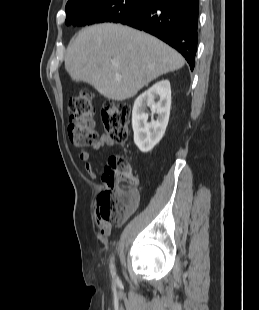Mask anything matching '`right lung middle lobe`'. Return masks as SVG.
Masks as SVG:
<instances>
[{"label":"right lung middle lobe","mask_w":259,"mask_h":310,"mask_svg":"<svg viewBox=\"0 0 259 310\" xmlns=\"http://www.w3.org/2000/svg\"><path fill=\"white\" fill-rule=\"evenodd\" d=\"M149 0H101L92 4L66 9L67 25H91L101 22H119L143 8Z\"/></svg>","instance_id":"right-lung-middle-lobe-1"}]
</instances>
